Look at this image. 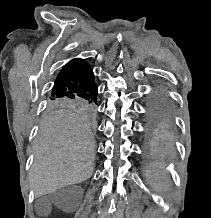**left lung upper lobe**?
I'll return each mask as SVG.
<instances>
[{"instance_id":"1","label":"left lung upper lobe","mask_w":211,"mask_h":218,"mask_svg":"<svg viewBox=\"0 0 211 218\" xmlns=\"http://www.w3.org/2000/svg\"><path fill=\"white\" fill-rule=\"evenodd\" d=\"M171 109L162 95H155L148 107V115L153 123H158L170 116Z\"/></svg>"}]
</instances>
